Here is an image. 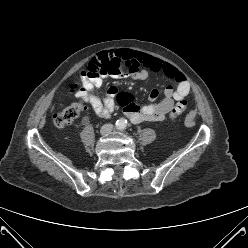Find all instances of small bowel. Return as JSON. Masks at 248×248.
<instances>
[{
	"label": "small bowel",
	"mask_w": 248,
	"mask_h": 248,
	"mask_svg": "<svg viewBox=\"0 0 248 248\" xmlns=\"http://www.w3.org/2000/svg\"><path fill=\"white\" fill-rule=\"evenodd\" d=\"M107 58L113 59L119 65V69L110 72L115 78L129 76L133 79L144 80L148 77L149 71H152L164 74L177 84L175 88L171 85L165 87L163 91L164 98L160 102H154L158 96L157 90L151 91L150 99L153 102L148 105L138 106L134 101H131L124 108V113L134 124L165 119L174 105L185 98L190 91V85L183 73L171 64L151 55L131 50H116L100 54L92 61L100 62ZM123 71H126L127 74L123 73ZM83 75V86L75 92V95L88 102L99 118H108L114 110V97L118 93L117 88L114 86L109 87L107 96L104 99H100L96 95L95 89L102 85L104 76L101 74L89 77L84 72Z\"/></svg>",
	"instance_id": "obj_1"
}]
</instances>
